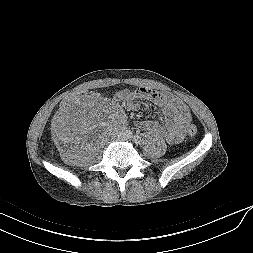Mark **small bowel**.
Here are the masks:
<instances>
[{"label":"small bowel","mask_w":253,"mask_h":253,"mask_svg":"<svg viewBox=\"0 0 253 253\" xmlns=\"http://www.w3.org/2000/svg\"><path fill=\"white\" fill-rule=\"evenodd\" d=\"M114 98L126 105L129 110L138 108L137 100L152 102L161 110L165 125L162 126L158 120H146L139 122L138 126L145 131L161 134L167 142L172 144L179 143L184 138L185 129L191 121V114L186 104L181 100L144 87L135 90H119L114 94ZM64 127L63 124L61 129Z\"/></svg>","instance_id":"small-bowel-1"}]
</instances>
